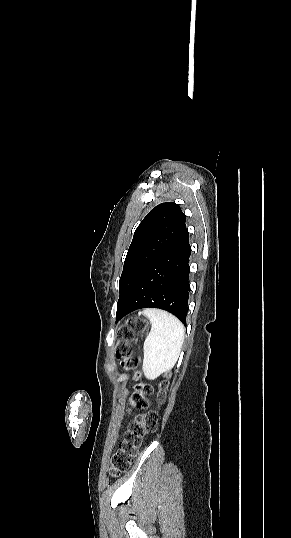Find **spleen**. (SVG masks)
<instances>
[{
    "instance_id": "obj_1",
    "label": "spleen",
    "mask_w": 291,
    "mask_h": 538,
    "mask_svg": "<svg viewBox=\"0 0 291 538\" xmlns=\"http://www.w3.org/2000/svg\"><path fill=\"white\" fill-rule=\"evenodd\" d=\"M143 313L152 326L143 345V371L148 379H155L177 362L184 342L185 327L166 311L145 309Z\"/></svg>"
}]
</instances>
